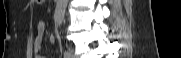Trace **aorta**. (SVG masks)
Masks as SVG:
<instances>
[{"instance_id":"obj_1","label":"aorta","mask_w":181,"mask_h":58,"mask_svg":"<svg viewBox=\"0 0 181 58\" xmlns=\"http://www.w3.org/2000/svg\"><path fill=\"white\" fill-rule=\"evenodd\" d=\"M67 4L68 0H56L54 17H55V23L59 27L62 25L64 21Z\"/></svg>"}]
</instances>
